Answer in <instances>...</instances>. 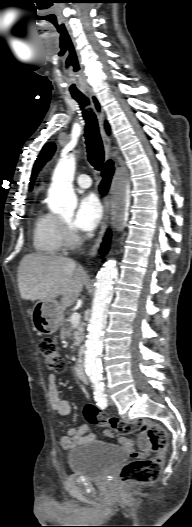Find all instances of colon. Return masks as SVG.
<instances>
[{"instance_id": "obj_1", "label": "colon", "mask_w": 192, "mask_h": 527, "mask_svg": "<svg viewBox=\"0 0 192 527\" xmlns=\"http://www.w3.org/2000/svg\"><path fill=\"white\" fill-rule=\"evenodd\" d=\"M37 345L47 367L55 372H63L65 361L54 341L43 337L38 340ZM84 415L90 424L109 428L118 434H127L132 430L145 431L156 455L150 459L131 460L121 470L120 478L127 484L153 483L159 478L168 446L167 433L160 424L147 420L126 423L108 415L93 404L86 405Z\"/></svg>"}]
</instances>
